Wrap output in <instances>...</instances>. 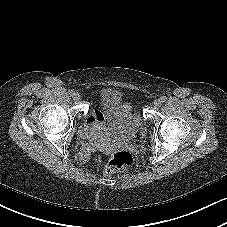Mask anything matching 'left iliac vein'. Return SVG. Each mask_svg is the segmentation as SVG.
Masks as SVG:
<instances>
[{"instance_id":"4c4485c4","label":"left iliac vein","mask_w":227,"mask_h":227,"mask_svg":"<svg viewBox=\"0 0 227 227\" xmlns=\"http://www.w3.org/2000/svg\"><path fill=\"white\" fill-rule=\"evenodd\" d=\"M161 103L162 102L160 99H156V100H154L153 105H154V107L158 108L161 106Z\"/></svg>"}]
</instances>
